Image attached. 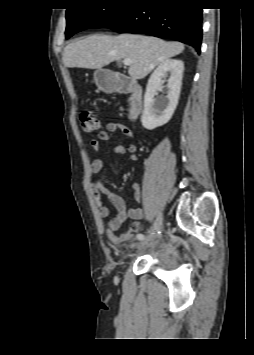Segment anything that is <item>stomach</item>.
Returning a JSON list of instances; mask_svg holds the SVG:
<instances>
[{
	"label": "stomach",
	"mask_w": 254,
	"mask_h": 355,
	"mask_svg": "<svg viewBox=\"0 0 254 355\" xmlns=\"http://www.w3.org/2000/svg\"><path fill=\"white\" fill-rule=\"evenodd\" d=\"M94 80L96 84L103 89L110 88L111 83L108 78L104 77V71L103 70H97L94 73Z\"/></svg>",
	"instance_id": "obj_1"
}]
</instances>
